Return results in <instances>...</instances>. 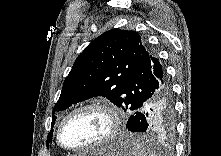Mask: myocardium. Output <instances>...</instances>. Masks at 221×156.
<instances>
[{
  "instance_id": "f54148a6",
  "label": "myocardium",
  "mask_w": 221,
  "mask_h": 156,
  "mask_svg": "<svg viewBox=\"0 0 221 156\" xmlns=\"http://www.w3.org/2000/svg\"><path fill=\"white\" fill-rule=\"evenodd\" d=\"M88 109L101 110L108 116L110 125L107 133L101 139L88 146L77 147V148L66 146L62 140V132L64 126L69 121V119L73 117L75 114ZM120 126H121L120 114L118 110L115 108V106H113L111 103L102 100L87 102L85 104H82L74 108L62 119L57 130V142L60 147L70 152H82V151L91 150L110 142L118 134Z\"/></svg>"
}]
</instances>
